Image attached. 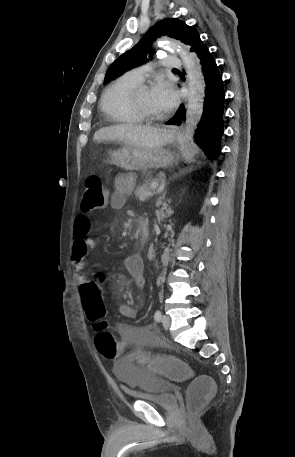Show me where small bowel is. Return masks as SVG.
Instances as JSON below:
<instances>
[{
	"label": "small bowel",
	"mask_w": 295,
	"mask_h": 457,
	"mask_svg": "<svg viewBox=\"0 0 295 457\" xmlns=\"http://www.w3.org/2000/svg\"><path fill=\"white\" fill-rule=\"evenodd\" d=\"M134 187V180L131 176L121 175L115 180V189L110 195V206L114 210L122 209L126 202V197L131 193ZM91 223L89 218L80 214L74 221V245L72 250V268L77 283L83 287L90 280L83 271L86 266L85 258L91 248L95 246L94 239L90 236ZM123 264L129 274L134 278L139 288H144L146 279L144 277V264L140 255L133 254L123 259ZM118 311L121 316L128 319H135L137 311L129 304H120ZM153 324L147 326H132L119 324L118 331L122 334L124 342V351L128 345L139 341H157L154 333ZM104 356V355H103ZM105 357V356H104Z\"/></svg>",
	"instance_id": "obj_1"
}]
</instances>
